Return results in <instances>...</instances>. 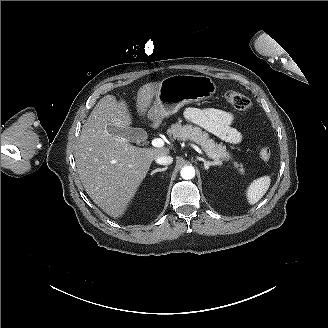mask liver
<instances>
[{
    "label": "liver",
    "instance_id": "liver-1",
    "mask_svg": "<svg viewBox=\"0 0 328 328\" xmlns=\"http://www.w3.org/2000/svg\"><path fill=\"white\" fill-rule=\"evenodd\" d=\"M157 87L156 83H148L138 90L139 114L147 111ZM131 123L125 101L118 102L113 95L103 97L83 125L75 152L78 174L85 191L113 218L124 214L152 161L169 154L168 148H139L106 131L107 125L128 127Z\"/></svg>",
    "mask_w": 328,
    "mask_h": 328
}]
</instances>
